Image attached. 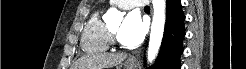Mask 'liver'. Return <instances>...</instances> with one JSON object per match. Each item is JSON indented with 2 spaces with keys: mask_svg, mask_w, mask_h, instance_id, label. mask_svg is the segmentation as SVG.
I'll list each match as a JSON object with an SVG mask.
<instances>
[{
  "mask_svg": "<svg viewBox=\"0 0 246 69\" xmlns=\"http://www.w3.org/2000/svg\"><path fill=\"white\" fill-rule=\"evenodd\" d=\"M127 58L123 53H103L81 57L73 69H108L117 66Z\"/></svg>",
  "mask_w": 246,
  "mask_h": 69,
  "instance_id": "liver-1",
  "label": "liver"
}]
</instances>
